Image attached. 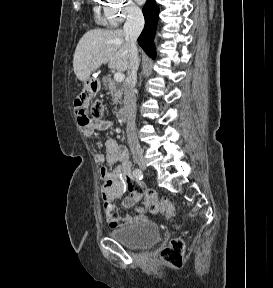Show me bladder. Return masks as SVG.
<instances>
[{"label": "bladder", "mask_w": 273, "mask_h": 288, "mask_svg": "<svg viewBox=\"0 0 273 288\" xmlns=\"http://www.w3.org/2000/svg\"><path fill=\"white\" fill-rule=\"evenodd\" d=\"M109 235L114 241L134 250L151 248L161 238L160 229L153 222L126 225L112 230Z\"/></svg>", "instance_id": "31cf9c89"}]
</instances>
